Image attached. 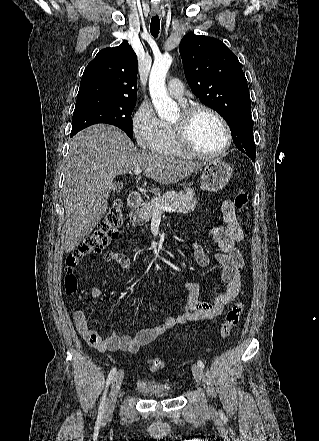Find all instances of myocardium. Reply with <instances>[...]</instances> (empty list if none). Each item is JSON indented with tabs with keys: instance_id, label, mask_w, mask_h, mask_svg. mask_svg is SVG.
<instances>
[{
	"instance_id": "myocardium-1",
	"label": "myocardium",
	"mask_w": 319,
	"mask_h": 441,
	"mask_svg": "<svg viewBox=\"0 0 319 441\" xmlns=\"http://www.w3.org/2000/svg\"><path fill=\"white\" fill-rule=\"evenodd\" d=\"M206 112L214 116L223 126L226 134L225 145L215 152H202L196 149L189 137V132L194 118L197 114ZM174 139L178 148L186 155L197 158H214L224 154L231 146L232 132L227 120L215 109L202 104H193L185 106L180 111V117L177 121L170 124Z\"/></svg>"
}]
</instances>
